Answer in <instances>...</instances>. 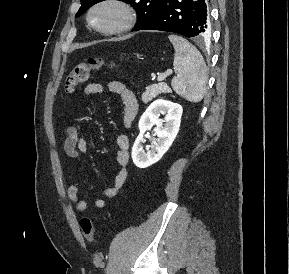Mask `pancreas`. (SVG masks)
Instances as JSON below:
<instances>
[{"label": "pancreas", "mask_w": 289, "mask_h": 274, "mask_svg": "<svg viewBox=\"0 0 289 274\" xmlns=\"http://www.w3.org/2000/svg\"><path fill=\"white\" fill-rule=\"evenodd\" d=\"M161 93H171V88L164 82L148 86L142 95V101L148 103Z\"/></svg>", "instance_id": "pancreas-1"}]
</instances>
